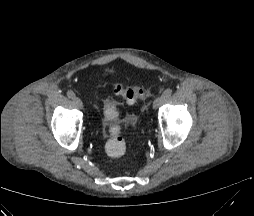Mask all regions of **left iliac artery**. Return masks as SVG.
Wrapping results in <instances>:
<instances>
[{
    "label": "left iliac artery",
    "instance_id": "left-iliac-artery-1",
    "mask_svg": "<svg viewBox=\"0 0 254 216\" xmlns=\"http://www.w3.org/2000/svg\"><path fill=\"white\" fill-rule=\"evenodd\" d=\"M171 94H172V89L168 88L164 91L163 96L167 99L171 96Z\"/></svg>",
    "mask_w": 254,
    "mask_h": 216
}]
</instances>
